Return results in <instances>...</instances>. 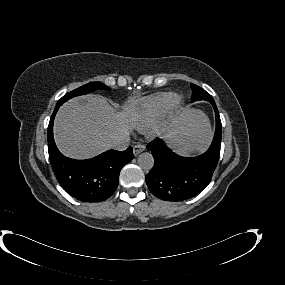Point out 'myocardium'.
Masks as SVG:
<instances>
[{"label":"myocardium","mask_w":285,"mask_h":285,"mask_svg":"<svg viewBox=\"0 0 285 285\" xmlns=\"http://www.w3.org/2000/svg\"><path fill=\"white\" fill-rule=\"evenodd\" d=\"M183 99L180 95L174 94L171 96L170 102L166 110L167 119L153 130V135L157 136L164 133L168 129V121L174 117L182 108Z\"/></svg>","instance_id":"obj_1"}]
</instances>
